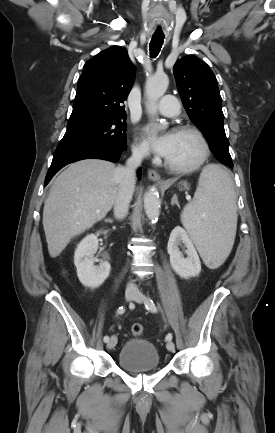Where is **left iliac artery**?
Returning a JSON list of instances; mask_svg holds the SVG:
<instances>
[{
    "instance_id": "left-iliac-artery-1",
    "label": "left iliac artery",
    "mask_w": 275,
    "mask_h": 433,
    "mask_svg": "<svg viewBox=\"0 0 275 433\" xmlns=\"http://www.w3.org/2000/svg\"><path fill=\"white\" fill-rule=\"evenodd\" d=\"M145 307H146L147 310H149V311H151V312H154V313L157 312V308H156L154 302L152 301V299H150V298H147V299L145 300ZM166 340H167V341L172 340V334L169 333V334L166 336Z\"/></svg>"
}]
</instances>
